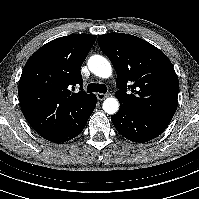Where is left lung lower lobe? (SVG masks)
<instances>
[{
	"mask_svg": "<svg viewBox=\"0 0 199 199\" xmlns=\"http://www.w3.org/2000/svg\"><path fill=\"white\" fill-rule=\"evenodd\" d=\"M111 120L121 135L139 143L158 137L169 124L145 115L123 102H120V109L111 116Z\"/></svg>",
	"mask_w": 199,
	"mask_h": 199,
	"instance_id": "left-lung-lower-lobe-1",
	"label": "left lung lower lobe"
}]
</instances>
